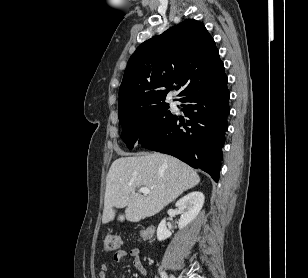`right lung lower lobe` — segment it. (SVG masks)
Returning <instances> with one entry per match:
<instances>
[{
	"label": "right lung lower lobe",
	"instance_id": "right-lung-lower-lobe-1",
	"mask_svg": "<svg viewBox=\"0 0 308 278\" xmlns=\"http://www.w3.org/2000/svg\"><path fill=\"white\" fill-rule=\"evenodd\" d=\"M229 97L225 75L182 98L186 121L174 116L167 127L142 146L175 156L193 168L204 170L218 182L230 112Z\"/></svg>",
	"mask_w": 308,
	"mask_h": 278
}]
</instances>
